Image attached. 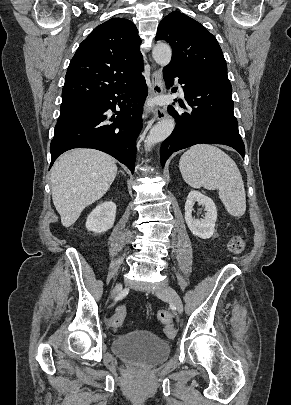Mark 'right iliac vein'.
<instances>
[{
    "label": "right iliac vein",
    "mask_w": 291,
    "mask_h": 405,
    "mask_svg": "<svg viewBox=\"0 0 291 405\" xmlns=\"http://www.w3.org/2000/svg\"><path fill=\"white\" fill-rule=\"evenodd\" d=\"M122 290V284H118L115 288H114V290H113V293H112V296H114V295H116L119 291H121Z\"/></svg>",
    "instance_id": "1"
}]
</instances>
